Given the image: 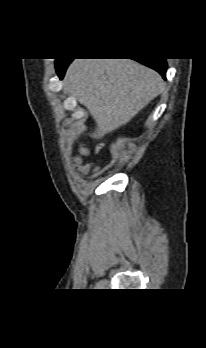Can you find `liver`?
<instances>
[{
  "label": "liver",
  "instance_id": "6515ba94",
  "mask_svg": "<svg viewBox=\"0 0 206 348\" xmlns=\"http://www.w3.org/2000/svg\"><path fill=\"white\" fill-rule=\"evenodd\" d=\"M73 94L95 120L100 139L127 124L165 87L154 70L131 59H75L64 77Z\"/></svg>",
  "mask_w": 206,
  "mask_h": 348
}]
</instances>
